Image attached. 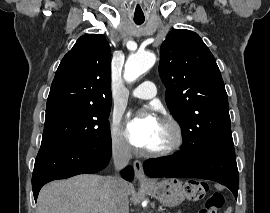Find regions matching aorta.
Returning a JSON list of instances; mask_svg holds the SVG:
<instances>
[{"label": "aorta", "instance_id": "aorta-1", "mask_svg": "<svg viewBox=\"0 0 270 213\" xmlns=\"http://www.w3.org/2000/svg\"><path fill=\"white\" fill-rule=\"evenodd\" d=\"M156 62L154 53L145 51L137 52L129 56L125 64L124 79L133 82L146 73Z\"/></svg>", "mask_w": 270, "mask_h": 213}]
</instances>
